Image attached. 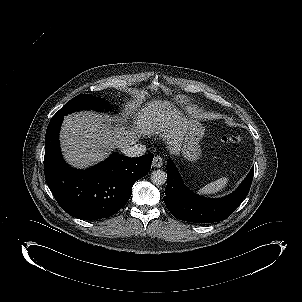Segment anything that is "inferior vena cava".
Returning <instances> with one entry per match:
<instances>
[{
    "instance_id": "inferior-vena-cava-1",
    "label": "inferior vena cava",
    "mask_w": 302,
    "mask_h": 302,
    "mask_svg": "<svg viewBox=\"0 0 302 302\" xmlns=\"http://www.w3.org/2000/svg\"><path fill=\"white\" fill-rule=\"evenodd\" d=\"M146 152V146L143 144H135L133 146H126L122 149V153L128 157H139Z\"/></svg>"
}]
</instances>
